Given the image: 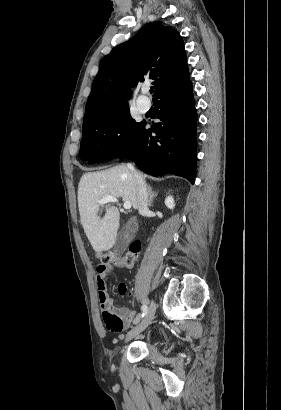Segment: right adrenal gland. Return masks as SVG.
<instances>
[{"instance_id": "right-adrenal-gland-1", "label": "right adrenal gland", "mask_w": 281, "mask_h": 410, "mask_svg": "<svg viewBox=\"0 0 281 410\" xmlns=\"http://www.w3.org/2000/svg\"><path fill=\"white\" fill-rule=\"evenodd\" d=\"M148 193H149L148 205L152 206L153 199L158 195V193L154 192L150 185L148 186Z\"/></svg>"}]
</instances>
